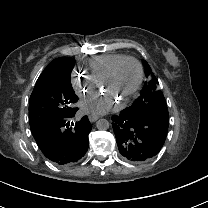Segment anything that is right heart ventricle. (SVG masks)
<instances>
[{
  "instance_id": "obj_1",
  "label": "right heart ventricle",
  "mask_w": 208,
  "mask_h": 208,
  "mask_svg": "<svg viewBox=\"0 0 208 208\" xmlns=\"http://www.w3.org/2000/svg\"><path fill=\"white\" fill-rule=\"evenodd\" d=\"M123 57L121 54H103L93 57L87 61L91 77L99 83L111 70L113 65Z\"/></svg>"
}]
</instances>
